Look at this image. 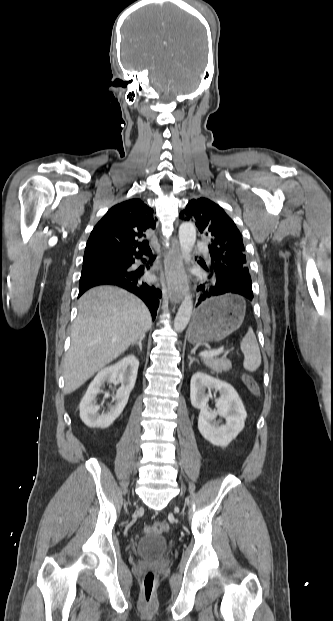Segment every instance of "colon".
Instances as JSON below:
<instances>
[{
    "label": "colon",
    "mask_w": 333,
    "mask_h": 621,
    "mask_svg": "<svg viewBox=\"0 0 333 621\" xmlns=\"http://www.w3.org/2000/svg\"><path fill=\"white\" fill-rule=\"evenodd\" d=\"M242 379H243V382L246 388L252 394L254 395L258 394L259 392L258 384L251 375L244 374ZM167 530H168V524L165 521H156L148 525L145 528V532L149 534H164L167 532ZM154 587H155V575L152 571H148L146 572L144 576L143 588H142V597L146 603H150L152 601Z\"/></svg>",
    "instance_id": "colon-1"
}]
</instances>
